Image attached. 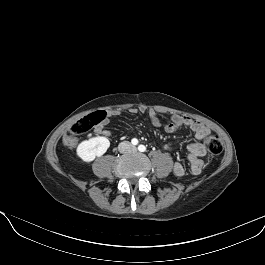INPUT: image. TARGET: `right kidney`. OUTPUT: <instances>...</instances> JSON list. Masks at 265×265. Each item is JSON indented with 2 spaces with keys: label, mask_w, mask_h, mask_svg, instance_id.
I'll list each match as a JSON object with an SVG mask.
<instances>
[{
  "label": "right kidney",
  "mask_w": 265,
  "mask_h": 265,
  "mask_svg": "<svg viewBox=\"0 0 265 265\" xmlns=\"http://www.w3.org/2000/svg\"><path fill=\"white\" fill-rule=\"evenodd\" d=\"M110 141L102 136L92 137L82 141L77 147V155L85 162H91L101 157L109 148Z\"/></svg>",
  "instance_id": "ca27d5eb"
}]
</instances>
